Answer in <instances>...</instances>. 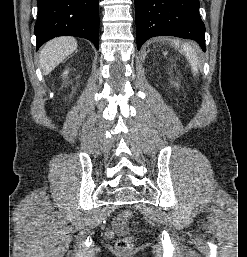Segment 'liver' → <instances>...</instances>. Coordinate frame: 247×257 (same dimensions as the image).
<instances>
[{
	"label": "liver",
	"mask_w": 247,
	"mask_h": 257,
	"mask_svg": "<svg viewBox=\"0 0 247 257\" xmlns=\"http://www.w3.org/2000/svg\"><path fill=\"white\" fill-rule=\"evenodd\" d=\"M77 49V41L72 37H58L47 42L40 53V67L48 75L59 63Z\"/></svg>",
	"instance_id": "obj_1"
}]
</instances>
